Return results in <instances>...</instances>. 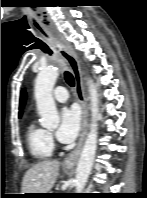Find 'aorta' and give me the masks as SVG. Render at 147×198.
Here are the masks:
<instances>
[{"instance_id": "762f6f07", "label": "aorta", "mask_w": 147, "mask_h": 198, "mask_svg": "<svg viewBox=\"0 0 147 198\" xmlns=\"http://www.w3.org/2000/svg\"><path fill=\"white\" fill-rule=\"evenodd\" d=\"M58 76V68L46 67L40 71L35 81L34 95L40 123L44 128H56L59 124V115L52 96V90ZM88 85L91 102V124L76 168V193H82L86 185L97 148L99 98L96 86L91 79L88 80Z\"/></svg>"}]
</instances>
